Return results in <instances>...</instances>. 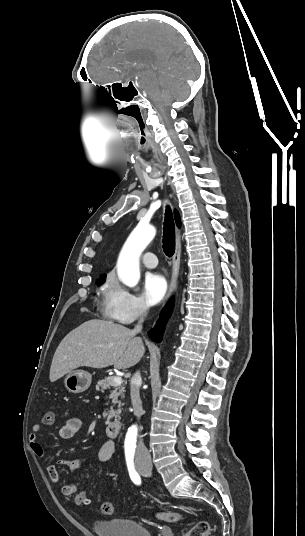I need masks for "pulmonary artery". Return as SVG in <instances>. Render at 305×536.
Here are the masks:
<instances>
[{
    "label": "pulmonary artery",
    "mask_w": 305,
    "mask_h": 536,
    "mask_svg": "<svg viewBox=\"0 0 305 536\" xmlns=\"http://www.w3.org/2000/svg\"><path fill=\"white\" fill-rule=\"evenodd\" d=\"M140 261L147 268H155L157 266L156 256L151 251L144 252L140 257Z\"/></svg>",
    "instance_id": "1"
}]
</instances>
